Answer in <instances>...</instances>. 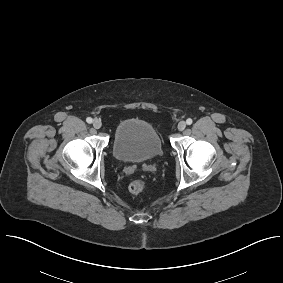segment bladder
Instances as JSON below:
<instances>
[{
  "mask_svg": "<svg viewBox=\"0 0 283 283\" xmlns=\"http://www.w3.org/2000/svg\"><path fill=\"white\" fill-rule=\"evenodd\" d=\"M112 147L119 161L131 163L154 160L163 152L156 128L150 122L137 118L126 119L117 125Z\"/></svg>",
  "mask_w": 283,
  "mask_h": 283,
  "instance_id": "1",
  "label": "bladder"
}]
</instances>
